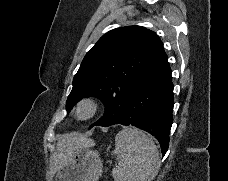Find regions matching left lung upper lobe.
Wrapping results in <instances>:
<instances>
[{
	"instance_id": "left-lung-upper-lobe-1",
	"label": "left lung upper lobe",
	"mask_w": 228,
	"mask_h": 181,
	"mask_svg": "<svg viewBox=\"0 0 228 181\" xmlns=\"http://www.w3.org/2000/svg\"><path fill=\"white\" fill-rule=\"evenodd\" d=\"M164 53L160 38L149 29L126 26L109 31L86 54L74 76L67 112L92 96L104 103L105 113L90 128L118 122L140 78Z\"/></svg>"
}]
</instances>
